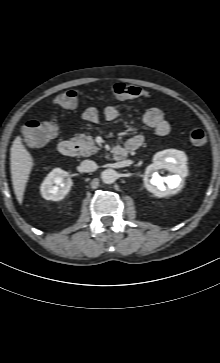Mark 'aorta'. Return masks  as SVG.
<instances>
[{
  "mask_svg": "<svg viewBox=\"0 0 220 363\" xmlns=\"http://www.w3.org/2000/svg\"><path fill=\"white\" fill-rule=\"evenodd\" d=\"M101 178L105 184H112L117 179V172L113 169H106L102 172Z\"/></svg>",
  "mask_w": 220,
  "mask_h": 363,
  "instance_id": "aorta-1",
  "label": "aorta"
}]
</instances>
